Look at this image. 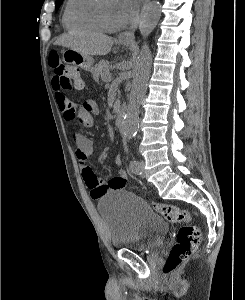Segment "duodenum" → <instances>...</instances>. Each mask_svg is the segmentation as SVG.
Listing matches in <instances>:
<instances>
[{
	"label": "duodenum",
	"instance_id": "obj_1",
	"mask_svg": "<svg viewBox=\"0 0 245 300\" xmlns=\"http://www.w3.org/2000/svg\"><path fill=\"white\" fill-rule=\"evenodd\" d=\"M123 120H124V111L123 109H119L117 110L116 114H115V125L117 127H121L123 124Z\"/></svg>",
	"mask_w": 245,
	"mask_h": 300
}]
</instances>
